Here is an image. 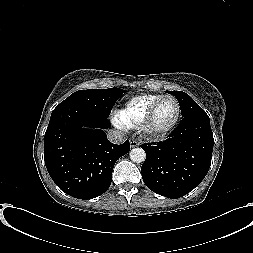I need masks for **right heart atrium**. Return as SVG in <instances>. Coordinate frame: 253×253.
<instances>
[{
	"instance_id": "obj_1",
	"label": "right heart atrium",
	"mask_w": 253,
	"mask_h": 253,
	"mask_svg": "<svg viewBox=\"0 0 253 253\" xmlns=\"http://www.w3.org/2000/svg\"><path fill=\"white\" fill-rule=\"evenodd\" d=\"M113 120H114L115 123L119 124L115 118H114ZM119 125H120V124H119Z\"/></svg>"
}]
</instances>
